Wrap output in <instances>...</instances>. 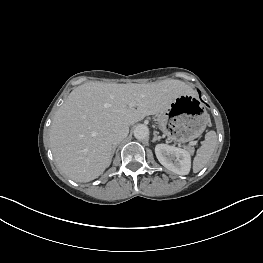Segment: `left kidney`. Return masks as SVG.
I'll return each mask as SVG.
<instances>
[{"label": "left kidney", "instance_id": "1", "mask_svg": "<svg viewBox=\"0 0 263 263\" xmlns=\"http://www.w3.org/2000/svg\"><path fill=\"white\" fill-rule=\"evenodd\" d=\"M155 154L158 161L168 170L178 175H187L190 172L191 155L187 150L167 144H157Z\"/></svg>", "mask_w": 263, "mask_h": 263}]
</instances>
